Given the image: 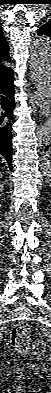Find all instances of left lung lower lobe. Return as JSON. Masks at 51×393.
Instances as JSON below:
<instances>
[{
  "label": "left lung lower lobe",
  "instance_id": "left-lung-lower-lobe-1",
  "mask_svg": "<svg viewBox=\"0 0 51 393\" xmlns=\"http://www.w3.org/2000/svg\"><path fill=\"white\" fill-rule=\"evenodd\" d=\"M49 147H51V144H50V145H48V146L46 147V149H45V150H47Z\"/></svg>",
  "mask_w": 51,
  "mask_h": 393
}]
</instances>
